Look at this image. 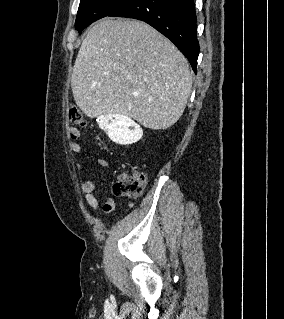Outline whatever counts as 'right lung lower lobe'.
<instances>
[{"label":"right lung lower lobe","instance_id":"obj_1","mask_svg":"<svg viewBox=\"0 0 284 319\" xmlns=\"http://www.w3.org/2000/svg\"><path fill=\"white\" fill-rule=\"evenodd\" d=\"M108 16L148 23L177 46L196 73L199 43L194 0H130Z\"/></svg>","mask_w":284,"mask_h":319}]
</instances>
